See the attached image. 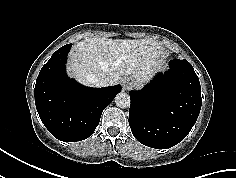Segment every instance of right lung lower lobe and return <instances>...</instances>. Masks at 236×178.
I'll use <instances>...</instances> for the list:
<instances>
[{"instance_id": "1", "label": "right lung lower lobe", "mask_w": 236, "mask_h": 178, "mask_svg": "<svg viewBox=\"0 0 236 178\" xmlns=\"http://www.w3.org/2000/svg\"><path fill=\"white\" fill-rule=\"evenodd\" d=\"M72 44L59 48L42 67L35 85L40 119L57 139L76 142L90 137L102 111L121 90L120 85L90 88L67 77L65 63Z\"/></svg>"}]
</instances>
